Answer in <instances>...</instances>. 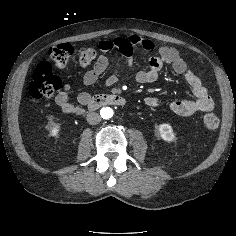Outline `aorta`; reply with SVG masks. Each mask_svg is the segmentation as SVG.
Returning <instances> with one entry per match:
<instances>
[{
  "instance_id": "aorta-1",
  "label": "aorta",
  "mask_w": 236,
  "mask_h": 236,
  "mask_svg": "<svg viewBox=\"0 0 236 236\" xmlns=\"http://www.w3.org/2000/svg\"><path fill=\"white\" fill-rule=\"evenodd\" d=\"M100 114L103 119H109L113 116V110L110 107H104L101 109Z\"/></svg>"
}]
</instances>
